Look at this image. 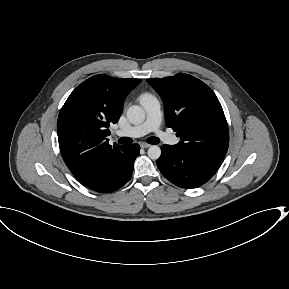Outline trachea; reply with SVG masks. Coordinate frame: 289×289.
I'll return each instance as SVG.
<instances>
[{"label":"trachea","instance_id":"obj_1","mask_svg":"<svg viewBox=\"0 0 289 289\" xmlns=\"http://www.w3.org/2000/svg\"><path fill=\"white\" fill-rule=\"evenodd\" d=\"M147 142L150 144H158L160 141L157 137H150L147 139ZM118 143L120 144H131L132 143V139L128 138V137H121L118 140Z\"/></svg>","mask_w":289,"mask_h":289}]
</instances>
